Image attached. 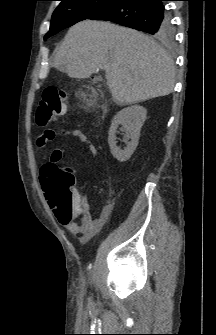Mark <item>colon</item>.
Listing matches in <instances>:
<instances>
[{
  "label": "colon",
  "instance_id": "5ec220e1",
  "mask_svg": "<svg viewBox=\"0 0 216 335\" xmlns=\"http://www.w3.org/2000/svg\"><path fill=\"white\" fill-rule=\"evenodd\" d=\"M70 105L64 91L56 87H47L42 94V98L36 109V123L39 127L51 124L58 116L66 113ZM51 164H47L44 170L50 169ZM52 178L48 183L51 188L49 192L51 198L57 206L63 209V219L70 216L75 207V200L71 188L74 185V173L71 169L54 167Z\"/></svg>",
  "mask_w": 216,
  "mask_h": 335
}]
</instances>
